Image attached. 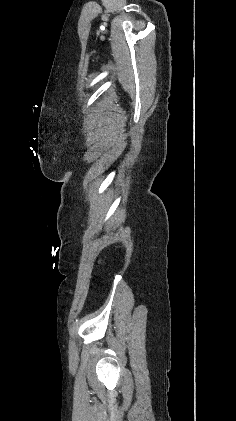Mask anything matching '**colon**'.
I'll list each match as a JSON object with an SVG mask.
<instances>
[{
  "instance_id": "5ec220e1",
  "label": "colon",
  "mask_w": 236,
  "mask_h": 421,
  "mask_svg": "<svg viewBox=\"0 0 236 421\" xmlns=\"http://www.w3.org/2000/svg\"><path fill=\"white\" fill-rule=\"evenodd\" d=\"M99 263L102 264V261L100 260Z\"/></svg>"
}]
</instances>
